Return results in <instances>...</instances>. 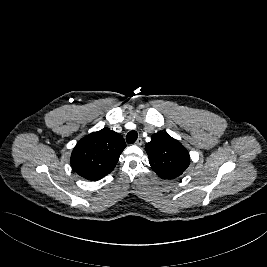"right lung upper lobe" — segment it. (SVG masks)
Here are the masks:
<instances>
[{"label":"right lung upper lobe","mask_w":267,"mask_h":267,"mask_svg":"<svg viewBox=\"0 0 267 267\" xmlns=\"http://www.w3.org/2000/svg\"><path fill=\"white\" fill-rule=\"evenodd\" d=\"M125 147L120 134L104 128L78 141L71 154V166L80 176L99 180L114 169Z\"/></svg>","instance_id":"1"}]
</instances>
